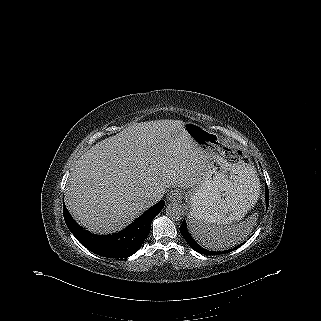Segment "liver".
I'll return each instance as SVG.
<instances>
[{"instance_id":"6515ba94","label":"liver","mask_w":321,"mask_h":321,"mask_svg":"<svg viewBox=\"0 0 321 321\" xmlns=\"http://www.w3.org/2000/svg\"><path fill=\"white\" fill-rule=\"evenodd\" d=\"M180 120L134 123L85 152L70 173L65 203L89 231L116 232L170 186L195 187L207 170L205 153ZM177 147V155L167 149ZM162 198V197H161Z\"/></svg>"}]
</instances>
